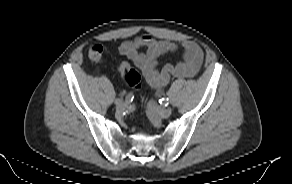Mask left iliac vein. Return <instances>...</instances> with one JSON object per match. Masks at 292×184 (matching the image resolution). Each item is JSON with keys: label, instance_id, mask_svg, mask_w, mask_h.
<instances>
[{"label": "left iliac vein", "instance_id": "left-iliac-vein-1", "mask_svg": "<svg viewBox=\"0 0 292 184\" xmlns=\"http://www.w3.org/2000/svg\"><path fill=\"white\" fill-rule=\"evenodd\" d=\"M147 110L150 114L159 118H168L171 115L172 109L169 107L160 108L153 100H150L147 104Z\"/></svg>", "mask_w": 292, "mask_h": 184}]
</instances>
